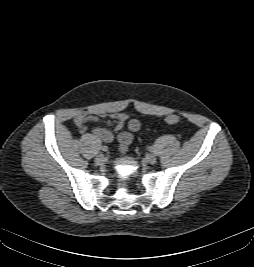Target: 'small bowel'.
<instances>
[{"mask_svg":"<svg viewBox=\"0 0 254 267\" xmlns=\"http://www.w3.org/2000/svg\"><path fill=\"white\" fill-rule=\"evenodd\" d=\"M99 121H104L108 125L113 126L116 131H120L125 125H127L128 131L120 132L117 137L119 151L121 153H125L128 150L133 141V133L138 132L141 128V122L138 119L130 118L126 113L122 112L112 113L108 117H105L101 114L83 111L78 113L74 118L75 125L82 133L86 132V124L88 122ZM93 134L105 143L111 142L114 138L113 133L106 128H94Z\"/></svg>","mask_w":254,"mask_h":267,"instance_id":"obj_1","label":"small bowel"}]
</instances>
